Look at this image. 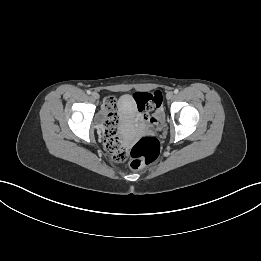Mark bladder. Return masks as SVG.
Returning a JSON list of instances; mask_svg holds the SVG:
<instances>
[{
    "mask_svg": "<svg viewBox=\"0 0 261 261\" xmlns=\"http://www.w3.org/2000/svg\"><path fill=\"white\" fill-rule=\"evenodd\" d=\"M117 110L123 123L132 125L135 122L136 107L129 94L121 95L117 102Z\"/></svg>",
    "mask_w": 261,
    "mask_h": 261,
    "instance_id": "obj_1",
    "label": "bladder"
}]
</instances>
